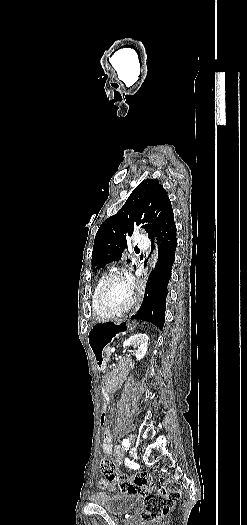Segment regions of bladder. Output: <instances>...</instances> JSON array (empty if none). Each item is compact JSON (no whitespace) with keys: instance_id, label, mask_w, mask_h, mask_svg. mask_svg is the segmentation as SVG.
<instances>
[{"instance_id":"1","label":"bladder","mask_w":247,"mask_h":525,"mask_svg":"<svg viewBox=\"0 0 247 525\" xmlns=\"http://www.w3.org/2000/svg\"><path fill=\"white\" fill-rule=\"evenodd\" d=\"M96 496L101 500V502L96 501V503H99V507L105 509L110 516L127 515L131 510L141 506L138 496L135 495L121 493L114 497L109 494H98Z\"/></svg>"}]
</instances>
